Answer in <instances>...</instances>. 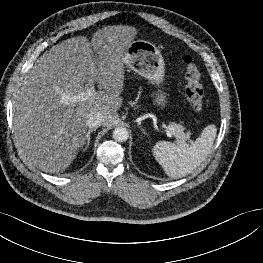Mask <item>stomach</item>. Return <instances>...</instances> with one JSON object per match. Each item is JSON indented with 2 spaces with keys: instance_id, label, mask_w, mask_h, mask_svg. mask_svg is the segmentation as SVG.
<instances>
[{
  "instance_id": "1",
  "label": "stomach",
  "mask_w": 263,
  "mask_h": 263,
  "mask_svg": "<svg viewBox=\"0 0 263 263\" xmlns=\"http://www.w3.org/2000/svg\"><path fill=\"white\" fill-rule=\"evenodd\" d=\"M125 65L157 88L152 94L154 104L163 109L168 104V94L162 90L165 63L160 50L145 40L132 41L125 51Z\"/></svg>"
}]
</instances>
